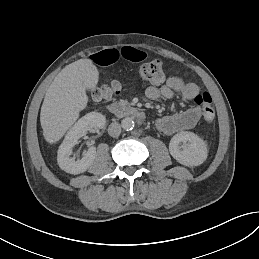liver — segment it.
I'll list each match as a JSON object with an SVG mask.
<instances>
[{
  "instance_id": "6515ba94",
  "label": "liver",
  "mask_w": 259,
  "mask_h": 259,
  "mask_svg": "<svg viewBox=\"0 0 259 259\" xmlns=\"http://www.w3.org/2000/svg\"><path fill=\"white\" fill-rule=\"evenodd\" d=\"M100 79L92 59H79L67 65L48 87L40 111L43 138L48 145L58 144L86 109L89 96Z\"/></svg>"
}]
</instances>
